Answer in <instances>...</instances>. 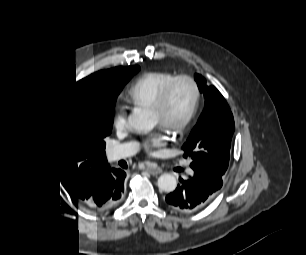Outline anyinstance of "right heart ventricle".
I'll return each instance as SVG.
<instances>
[{"label":"right heart ventricle","instance_id":"1","mask_svg":"<svg viewBox=\"0 0 306 255\" xmlns=\"http://www.w3.org/2000/svg\"><path fill=\"white\" fill-rule=\"evenodd\" d=\"M167 71H151L141 75L130 88L132 102L139 107H150L157 95L175 78Z\"/></svg>","mask_w":306,"mask_h":255}]
</instances>
